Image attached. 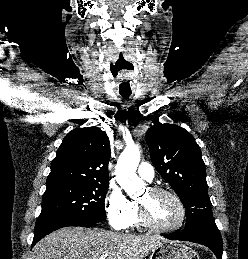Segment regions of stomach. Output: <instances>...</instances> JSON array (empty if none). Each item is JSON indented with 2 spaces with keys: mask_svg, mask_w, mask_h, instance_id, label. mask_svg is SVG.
Returning <instances> with one entry per match:
<instances>
[{
  "mask_svg": "<svg viewBox=\"0 0 248 259\" xmlns=\"http://www.w3.org/2000/svg\"><path fill=\"white\" fill-rule=\"evenodd\" d=\"M149 259H199L191 247L179 242H165L155 248Z\"/></svg>",
  "mask_w": 248,
  "mask_h": 259,
  "instance_id": "stomach-1",
  "label": "stomach"
}]
</instances>
